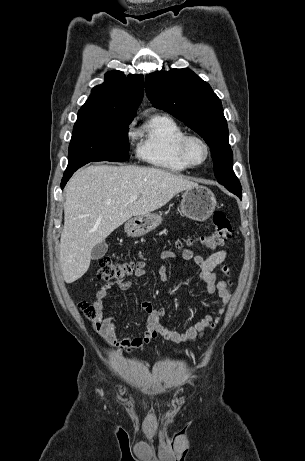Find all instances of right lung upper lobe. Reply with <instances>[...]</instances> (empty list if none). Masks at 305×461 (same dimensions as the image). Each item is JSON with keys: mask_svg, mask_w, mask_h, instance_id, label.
Here are the masks:
<instances>
[{"mask_svg": "<svg viewBox=\"0 0 305 461\" xmlns=\"http://www.w3.org/2000/svg\"><path fill=\"white\" fill-rule=\"evenodd\" d=\"M143 94V75L125 76L121 71H111L102 85L93 88L78 113L134 119Z\"/></svg>", "mask_w": 305, "mask_h": 461, "instance_id": "obj_1", "label": "right lung upper lobe"}]
</instances>
